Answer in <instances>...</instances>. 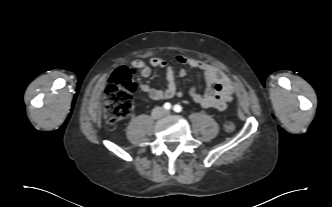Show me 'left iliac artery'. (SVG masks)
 I'll list each match as a JSON object with an SVG mask.
<instances>
[{"mask_svg": "<svg viewBox=\"0 0 332 207\" xmlns=\"http://www.w3.org/2000/svg\"><path fill=\"white\" fill-rule=\"evenodd\" d=\"M173 110L177 113L182 111V107L179 104L174 105Z\"/></svg>", "mask_w": 332, "mask_h": 207, "instance_id": "left-iliac-artery-1", "label": "left iliac artery"}]
</instances>
